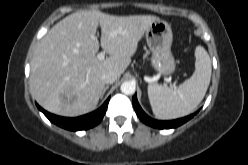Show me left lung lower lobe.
Instances as JSON below:
<instances>
[{
	"instance_id": "0a47b994",
	"label": "left lung lower lobe",
	"mask_w": 248,
	"mask_h": 165,
	"mask_svg": "<svg viewBox=\"0 0 248 165\" xmlns=\"http://www.w3.org/2000/svg\"><path fill=\"white\" fill-rule=\"evenodd\" d=\"M132 100H133L134 109L138 117L140 118V120L144 122L145 124L150 125L154 128H158V129H170V128L178 127L182 125L183 123L187 122L188 120H190L197 113L196 112L195 114H191L181 119H176V120H171V121H159V120H154L145 114V112L141 109L137 101L136 94L133 96Z\"/></svg>"
}]
</instances>
